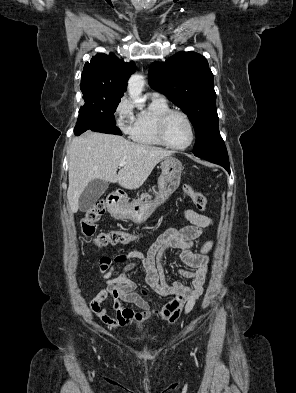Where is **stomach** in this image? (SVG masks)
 I'll list each match as a JSON object with an SVG mask.
<instances>
[{"label":"stomach","instance_id":"obj_1","mask_svg":"<svg viewBox=\"0 0 296 393\" xmlns=\"http://www.w3.org/2000/svg\"><path fill=\"white\" fill-rule=\"evenodd\" d=\"M162 173L158 179V193L154 201L138 199L130 203L120 202L117 204L114 214L119 219L131 220L135 223L146 221L155 209L163 204L169 196L179 187L182 163L173 157L164 158Z\"/></svg>","mask_w":296,"mask_h":393}]
</instances>
